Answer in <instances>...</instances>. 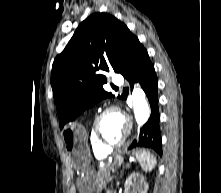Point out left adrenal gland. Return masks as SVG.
<instances>
[{
  "label": "left adrenal gland",
  "mask_w": 221,
  "mask_h": 193,
  "mask_svg": "<svg viewBox=\"0 0 221 193\" xmlns=\"http://www.w3.org/2000/svg\"><path fill=\"white\" fill-rule=\"evenodd\" d=\"M123 175V171L120 173V177Z\"/></svg>",
  "instance_id": "obj_1"
}]
</instances>
